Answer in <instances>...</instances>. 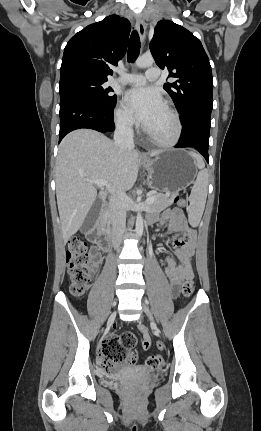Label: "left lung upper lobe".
Returning a JSON list of instances; mask_svg holds the SVG:
<instances>
[{"label": "left lung upper lobe", "instance_id": "1", "mask_svg": "<svg viewBox=\"0 0 261 431\" xmlns=\"http://www.w3.org/2000/svg\"><path fill=\"white\" fill-rule=\"evenodd\" d=\"M150 50L156 64L168 69L164 89L178 109L181 120L200 110L213 108V80L208 56L200 42L190 31L170 20L157 23Z\"/></svg>", "mask_w": 261, "mask_h": 431}]
</instances>
